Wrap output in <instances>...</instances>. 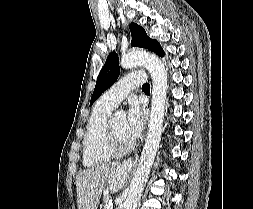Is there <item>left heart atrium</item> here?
<instances>
[{
    "label": "left heart atrium",
    "instance_id": "39dd6f15",
    "mask_svg": "<svg viewBox=\"0 0 253 209\" xmlns=\"http://www.w3.org/2000/svg\"><path fill=\"white\" fill-rule=\"evenodd\" d=\"M144 113L137 101L130 103L125 121V134L130 142L136 141L142 134Z\"/></svg>",
    "mask_w": 253,
    "mask_h": 209
}]
</instances>
